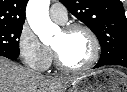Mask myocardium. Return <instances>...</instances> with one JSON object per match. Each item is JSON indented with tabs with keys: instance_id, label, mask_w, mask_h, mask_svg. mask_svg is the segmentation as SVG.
Listing matches in <instances>:
<instances>
[{
	"instance_id": "f54148a6",
	"label": "myocardium",
	"mask_w": 127,
	"mask_h": 92,
	"mask_svg": "<svg viewBox=\"0 0 127 92\" xmlns=\"http://www.w3.org/2000/svg\"><path fill=\"white\" fill-rule=\"evenodd\" d=\"M76 30H82L87 33L92 44V54L90 59L81 67H70L64 63L58 51L54 47H52L56 66L58 67V69H60L65 73H72V74L83 73L89 70L91 67H93L95 63L98 61L100 56L101 47H100L99 39L96 33L93 31V29L90 28L89 26L81 23H72L65 26L62 31L64 33H71Z\"/></svg>"
}]
</instances>
